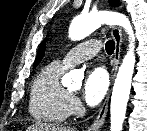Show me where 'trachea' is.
<instances>
[{
  "instance_id": "obj_1",
  "label": "trachea",
  "mask_w": 147,
  "mask_h": 131,
  "mask_svg": "<svg viewBox=\"0 0 147 131\" xmlns=\"http://www.w3.org/2000/svg\"><path fill=\"white\" fill-rule=\"evenodd\" d=\"M106 52L111 55L115 49V42L113 40H109L105 44Z\"/></svg>"
}]
</instances>
